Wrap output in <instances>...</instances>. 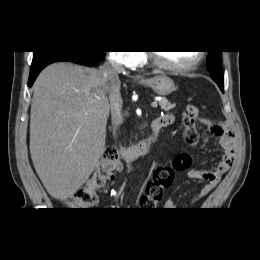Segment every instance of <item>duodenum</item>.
<instances>
[{"label":"duodenum","mask_w":260,"mask_h":260,"mask_svg":"<svg viewBox=\"0 0 260 260\" xmlns=\"http://www.w3.org/2000/svg\"><path fill=\"white\" fill-rule=\"evenodd\" d=\"M164 126L165 124L160 118L155 119L151 124V134L147 138L127 148H116L117 153L127 161H132L138 157L149 154L156 144L159 133Z\"/></svg>","instance_id":"duodenum-1"}]
</instances>
